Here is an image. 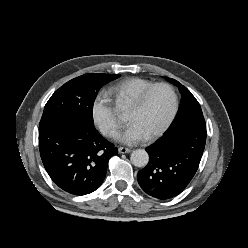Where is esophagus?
Returning a JSON list of instances; mask_svg holds the SVG:
<instances>
[{
	"mask_svg": "<svg viewBox=\"0 0 248 248\" xmlns=\"http://www.w3.org/2000/svg\"><path fill=\"white\" fill-rule=\"evenodd\" d=\"M118 151H119L120 154H125V153L131 152V149L126 148V147H119Z\"/></svg>",
	"mask_w": 248,
	"mask_h": 248,
	"instance_id": "1",
	"label": "esophagus"
}]
</instances>
